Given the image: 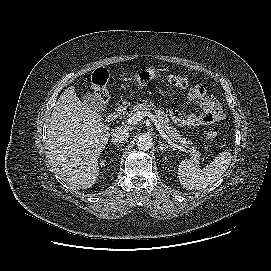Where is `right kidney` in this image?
<instances>
[{
  "label": "right kidney",
  "mask_w": 271,
  "mask_h": 271,
  "mask_svg": "<svg viewBox=\"0 0 271 271\" xmlns=\"http://www.w3.org/2000/svg\"><path fill=\"white\" fill-rule=\"evenodd\" d=\"M105 159H102V161H101V163H100V165H101V167H104L105 166Z\"/></svg>",
  "instance_id": "ca27d5eb"
}]
</instances>
